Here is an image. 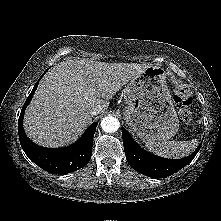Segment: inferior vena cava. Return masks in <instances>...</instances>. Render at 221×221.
Returning <instances> with one entry per match:
<instances>
[{"mask_svg": "<svg viewBox=\"0 0 221 221\" xmlns=\"http://www.w3.org/2000/svg\"><path fill=\"white\" fill-rule=\"evenodd\" d=\"M100 113V110L98 109V108H93L91 111H90V114L92 115V116H94V115H97V114H99Z\"/></svg>", "mask_w": 221, "mask_h": 221, "instance_id": "inferior-vena-cava-1", "label": "inferior vena cava"}]
</instances>
